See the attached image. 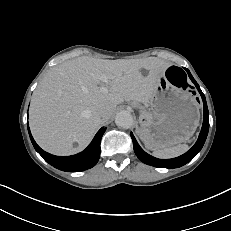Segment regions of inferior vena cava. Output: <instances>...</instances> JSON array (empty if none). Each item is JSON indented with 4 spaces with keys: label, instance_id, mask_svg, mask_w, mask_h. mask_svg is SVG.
<instances>
[{
    "label": "inferior vena cava",
    "instance_id": "602c4592",
    "mask_svg": "<svg viewBox=\"0 0 231 231\" xmlns=\"http://www.w3.org/2000/svg\"><path fill=\"white\" fill-rule=\"evenodd\" d=\"M98 116L100 117V118H102L103 120H107V119H109V112L107 111V110H100L99 112H98Z\"/></svg>",
    "mask_w": 231,
    "mask_h": 231
}]
</instances>
